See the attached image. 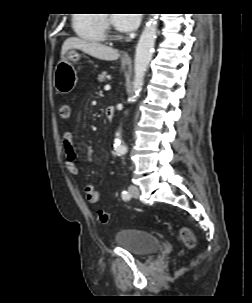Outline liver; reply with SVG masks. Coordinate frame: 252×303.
Returning a JSON list of instances; mask_svg holds the SVG:
<instances>
[{
  "label": "liver",
  "instance_id": "1",
  "mask_svg": "<svg viewBox=\"0 0 252 303\" xmlns=\"http://www.w3.org/2000/svg\"><path fill=\"white\" fill-rule=\"evenodd\" d=\"M70 49H79L97 59L113 61L119 57L118 50L94 41H88L78 37L66 39L62 45L61 57Z\"/></svg>",
  "mask_w": 252,
  "mask_h": 303
}]
</instances>
